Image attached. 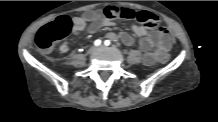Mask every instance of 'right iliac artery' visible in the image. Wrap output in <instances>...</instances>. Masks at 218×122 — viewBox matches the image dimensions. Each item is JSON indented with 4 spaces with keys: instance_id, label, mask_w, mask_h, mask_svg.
<instances>
[{
    "instance_id": "82829eb1",
    "label": "right iliac artery",
    "mask_w": 218,
    "mask_h": 122,
    "mask_svg": "<svg viewBox=\"0 0 218 122\" xmlns=\"http://www.w3.org/2000/svg\"><path fill=\"white\" fill-rule=\"evenodd\" d=\"M95 46H99L101 45V40L97 39L95 42H94Z\"/></svg>"
}]
</instances>
